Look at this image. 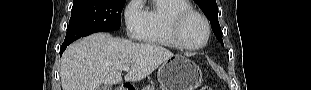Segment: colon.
Returning <instances> with one entry per match:
<instances>
[{
    "label": "colon",
    "instance_id": "5ec220e1",
    "mask_svg": "<svg viewBox=\"0 0 311 90\" xmlns=\"http://www.w3.org/2000/svg\"><path fill=\"white\" fill-rule=\"evenodd\" d=\"M200 90H212V88L204 86V87H201Z\"/></svg>",
    "mask_w": 311,
    "mask_h": 90
}]
</instances>
